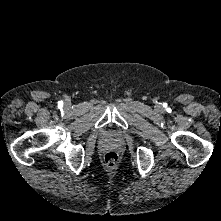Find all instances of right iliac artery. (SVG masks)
I'll use <instances>...</instances> for the list:
<instances>
[{
	"label": "right iliac artery",
	"instance_id": "right-iliac-artery-1",
	"mask_svg": "<svg viewBox=\"0 0 221 221\" xmlns=\"http://www.w3.org/2000/svg\"><path fill=\"white\" fill-rule=\"evenodd\" d=\"M59 105H63V102H62V101H60V102H59Z\"/></svg>",
	"mask_w": 221,
	"mask_h": 221
}]
</instances>
